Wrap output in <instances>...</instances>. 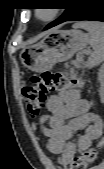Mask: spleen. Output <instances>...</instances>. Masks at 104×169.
<instances>
[{
    "label": "spleen",
    "mask_w": 104,
    "mask_h": 169,
    "mask_svg": "<svg viewBox=\"0 0 104 169\" xmlns=\"http://www.w3.org/2000/svg\"><path fill=\"white\" fill-rule=\"evenodd\" d=\"M75 27H80L88 31L89 44L92 46L88 61L86 62L87 68H93L104 60V26L98 22H80L75 24Z\"/></svg>",
    "instance_id": "1"
}]
</instances>
